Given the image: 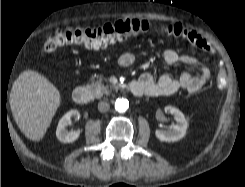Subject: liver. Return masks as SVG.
Returning <instances> with one entry per match:
<instances>
[{"label":"liver","mask_w":245,"mask_h":187,"mask_svg":"<svg viewBox=\"0 0 245 187\" xmlns=\"http://www.w3.org/2000/svg\"><path fill=\"white\" fill-rule=\"evenodd\" d=\"M61 103L59 90L43 75L22 72L10 93V106L16 124L30 140L40 141Z\"/></svg>","instance_id":"1"}]
</instances>
